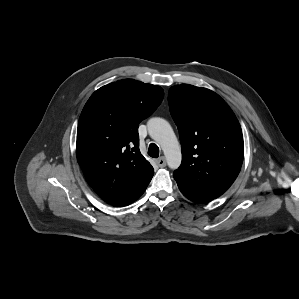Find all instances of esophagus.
<instances>
[{
    "mask_svg": "<svg viewBox=\"0 0 299 299\" xmlns=\"http://www.w3.org/2000/svg\"><path fill=\"white\" fill-rule=\"evenodd\" d=\"M156 163L158 164L159 167H165L166 166V160L164 157H160L156 160Z\"/></svg>",
    "mask_w": 299,
    "mask_h": 299,
    "instance_id": "1",
    "label": "esophagus"
}]
</instances>
